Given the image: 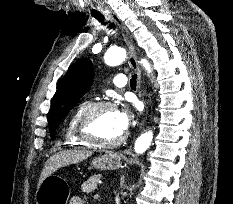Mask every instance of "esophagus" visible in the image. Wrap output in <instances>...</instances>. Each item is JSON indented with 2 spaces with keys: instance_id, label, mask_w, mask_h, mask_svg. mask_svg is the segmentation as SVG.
I'll return each instance as SVG.
<instances>
[{
  "instance_id": "1",
  "label": "esophagus",
  "mask_w": 233,
  "mask_h": 204,
  "mask_svg": "<svg viewBox=\"0 0 233 204\" xmlns=\"http://www.w3.org/2000/svg\"><path fill=\"white\" fill-rule=\"evenodd\" d=\"M106 14L120 27L123 32L124 39L126 44L129 48V64L130 66L137 72L138 80L141 81V69L138 64L134 39L131 33L129 32L128 28L124 25V23L120 20V18L113 12L107 11Z\"/></svg>"
}]
</instances>
